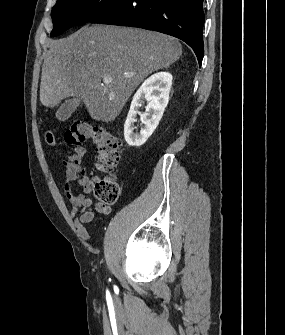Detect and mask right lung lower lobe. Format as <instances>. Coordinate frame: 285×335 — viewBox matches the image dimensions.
<instances>
[{"instance_id": "98d812e1", "label": "right lung lower lobe", "mask_w": 285, "mask_h": 335, "mask_svg": "<svg viewBox=\"0 0 285 335\" xmlns=\"http://www.w3.org/2000/svg\"><path fill=\"white\" fill-rule=\"evenodd\" d=\"M204 0H120L91 23L141 27L183 40L195 52L199 65L204 55Z\"/></svg>"}]
</instances>
